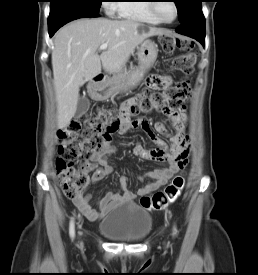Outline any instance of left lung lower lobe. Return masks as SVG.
<instances>
[{"label":"left lung lower lobe","mask_w":258,"mask_h":275,"mask_svg":"<svg viewBox=\"0 0 258 275\" xmlns=\"http://www.w3.org/2000/svg\"><path fill=\"white\" fill-rule=\"evenodd\" d=\"M176 32L194 38L204 45L205 18L202 13L201 1L191 7L187 19L181 22V26L176 29Z\"/></svg>","instance_id":"1"}]
</instances>
